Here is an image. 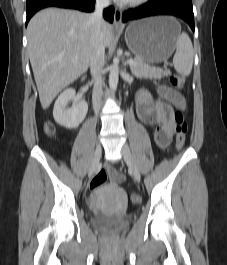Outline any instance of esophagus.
Returning <instances> with one entry per match:
<instances>
[{"instance_id":"esophagus-1","label":"esophagus","mask_w":227,"mask_h":265,"mask_svg":"<svg viewBox=\"0 0 227 265\" xmlns=\"http://www.w3.org/2000/svg\"><path fill=\"white\" fill-rule=\"evenodd\" d=\"M113 25L116 29H122L123 28L122 13L119 9H115V11H114Z\"/></svg>"}]
</instances>
